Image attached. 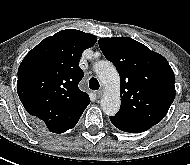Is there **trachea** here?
<instances>
[{"mask_svg": "<svg viewBox=\"0 0 190 165\" xmlns=\"http://www.w3.org/2000/svg\"><path fill=\"white\" fill-rule=\"evenodd\" d=\"M89 87H90V89H92V90H98L99 87H100L98 80H97L96 78H94V77L91 78V79L89 80Z\"/></svg>", "mask_w": 190, "mask_h": 165, "instance_id": "1", "label": "trachea"}]
</instances>
